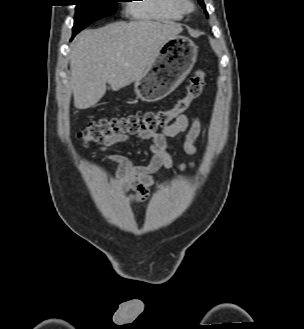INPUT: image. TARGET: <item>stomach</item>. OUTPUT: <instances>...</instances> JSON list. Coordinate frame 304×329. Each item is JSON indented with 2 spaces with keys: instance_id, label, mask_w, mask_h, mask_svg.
I'll return each mask as SVG.
<instances>
[{
  "instance_id": "1",
  "label": "stomach",
  "mask_w": 304,
  "mask_h": 329,
  "mask_svg": "<svg viewBox=\"0 0 304 329\" xmlns=\"http://www.w3.org/2000/svg\"><path fill=\"white\" fill-rule=\"evenodd\" d=\"M198 47L188 37L167 39L144 75L135 81V93L144 102H156L173 92L197 59Z\"/></svg>"
}]
</instances>
